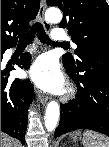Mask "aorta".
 <instances>
[{"label": "aorta", "instance_id": "1", "mask_svg": "<svg viewBox=\"0 0 109 147\" xmlns=\"http://www.w3.org/2000/svg\"><path fill=\"white\" fill-rule=\"evenodd\" d=\"M45 19L51 23H59L62 20V13L56 7H50L45 12ZM60 116V107L56 101L48 103L45 114V127L48 131L55 130Z\"/></svg>", "mask_w": 109, "mask_h": 147}]
</instances>
